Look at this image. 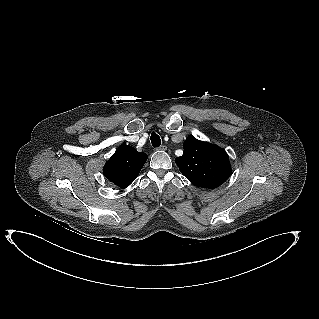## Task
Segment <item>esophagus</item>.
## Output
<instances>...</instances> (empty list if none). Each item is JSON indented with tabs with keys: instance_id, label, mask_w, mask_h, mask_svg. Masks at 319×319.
I'll list each match as a JSON object with an SVG mask.
<instances>
[{
	"instance_id": "obj_1",
	"label": "esophagus",
	"mask_w": 319,
	"mask_h": 319,
	"mask_svg": "<svg viewBox=\"0 0 319 319\" xmlns=\"http://www.w3.org/2000/svg\"><path fill=\"white\" fill-rule=\"evenodd\" d=\"M158 149L161 151H165L167 150V147L165 145H161Z\"/></svg>"
}]
</instances>
